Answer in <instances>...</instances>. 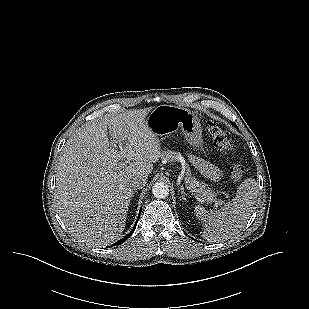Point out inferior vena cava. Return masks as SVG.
<instances>
[{
	"label": "inferior vena cava",
	"instance_id": "inferior-vena-cava-1",
	"mask_svg": "<svg viewBox=\"0 0 309 309\" xmlns=\"http://www.w3.org/2000/svg\"><path fill=\"white\" fill-rule=\"evenodd\" d=\"M146 183H147L146 176H136L129 181V186L131 189L137 190L144 187Z\"/></svg>",
	"mask_w": 309,
	"mask_h": 309
}]
</instances>
